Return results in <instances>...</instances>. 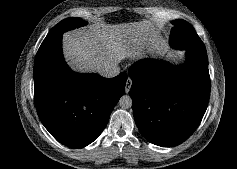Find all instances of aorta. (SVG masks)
Instances as JSON below:
<instances>
[{
    "mask_svg": "<svg viewBox=\"0 0 237 169\" xmlns=\"http://www.w3.org/2000/svg\"><path fill=\"white\" fill-rule=\"evenodd\" d=\"M119 106L123 109H129L132 107V99L128 95H123L119 100Z\"/></svg>",
    "mask_w": 237,
    "mask_h": 169,
    "instance_id": "1",
    "label": "aorta"
}]
</instances>
